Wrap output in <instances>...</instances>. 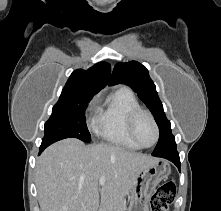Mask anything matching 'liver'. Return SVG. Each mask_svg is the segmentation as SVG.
<instances>
[{"label": "liver", "mask_w": 221, "mask_h": 211, "mask_svg": "<svg viewBox=\"0 0 221 211\" xmlns=\"http://www.w3.org/2000/svg\"><path fill=\"white\" fill-rule=\"evenodd\" d=\"M156 160L113 144L74 138L49 146L37 159L41 211H97L99 202L131 192L139 171ZM106 182L99 188V178Z\"/></svg>", "instance_id": "obj_1"}]
</instances>
